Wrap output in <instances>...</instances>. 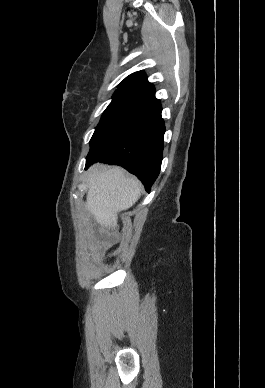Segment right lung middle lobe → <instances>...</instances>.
Instances as JSON below:
<instances>
[{"label":"right lung middle lobe","mask_w":265,"mask_h":388,"mask_svg":"<svg viewBox=\"0 0 265 388\" xmlns=\"http://www.w3.org/2000/svg\"><path fill=\"white\" fill-rule=\"evenodd\" d=\"M149 103L136 97L114 94L90 140V152Z\"/></svg>","instance_id":"right-lung-middle-lobe-1"}]
</instances>
